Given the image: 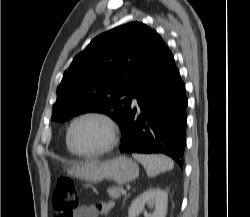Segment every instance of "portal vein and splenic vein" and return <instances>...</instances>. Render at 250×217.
<instances>
[{
	"label": "portal vein and splenic vein",
	"instance_id": "portal-vein-and-splenic-vein-1",
	"mask_svg": "<svg viewBox=\"0 0 250 217\" xmlns=\"http://www.w3.org/2000/svg\"><path fill=\"white\" fill-rule=\"evenodd\" d=\"M122 194L125 195L126 194V190L123 189L122 190Z\"/></svg>",
	"mask_w": 250,
	"mask_h": 217
}]
</instances>
